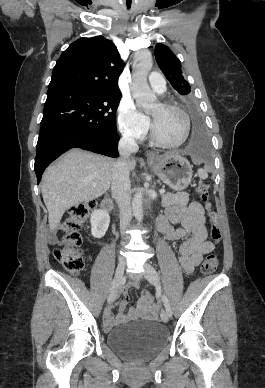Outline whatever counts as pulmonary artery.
I'll return each mask as SVG.
<instances>
[{
  "instance_id": "1",
  "label": "pulmonary artery",
  "mask_w": 265,
  "mask_h": 388,
  "mask_svg": "<svg viewBox=\"0 0 265 388\" xmlns=\"http://www.w3.org/2000/svg\"><path fill=\"white\" fill-rule=\"evenodd\" d=\"M150 85L153 86L154 90H166L168 88L162 75H151Z\"/></svg>"
}]
</instances>
